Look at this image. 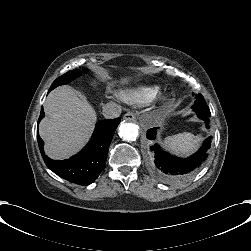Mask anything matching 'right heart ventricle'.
I'll use <instances>...</instances> for the list:
<instances>
[{
  "label": "right heart ventricle",
  "mask_w": 251,
  "mask_h": 251,
  "mask_svg": "<svg viewBox=\"0 0 251 251\" xmlns=\"http://www.w3.org/2000/svg\"><path fill=\"white\" fill-rule=\"evenodd\" d=\"M158 85L151 81L139 82L118 92L119 98L136 106L149 104L156 94Z\"/></svg>",
  "instance_id": "e07e8e85"
}]
</instances>
